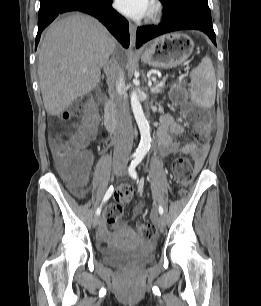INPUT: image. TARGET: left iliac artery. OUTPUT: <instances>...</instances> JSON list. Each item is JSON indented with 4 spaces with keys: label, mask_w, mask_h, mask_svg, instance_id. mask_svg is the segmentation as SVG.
I'll list each match as a JSON object with an SVG mask.
<instances>
[{
    "label": "left iliac artery",
    "mask_w": 261,
    "mask_h": 306,
    "mask_svg": "<svg viewBox=\"0 0 261 306\" xmlns=\"http://www.w3.org/2000/svg\"><path fill=\"white\" fill-rule=\"evenodd\" d=\"M141 162V158L136 157L130 164L129 168H128V172L129 175L133 178V179H137L138 175L136 172V166ZM158 211L161 215H163L164 213V209L161 205H159Z\"/></svg>",
    "instance_id": "left-iliac-artery-1"
}]
</instances>
